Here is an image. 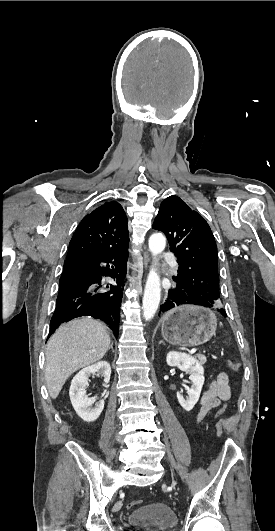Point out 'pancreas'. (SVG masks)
Here are the masks:
<instances>
[{
  "mask_svg": "<svg viewBox=\"0 0 275 531\" xmlns=\"http://www.w3.org/2000/svg\"><path fill=\"white\" fill-rule=\"evenodd\" d=\"M200 365H204V363H206L207 359L206 357H204V355H196Z\"/></svg>",
  "mask_w": 275,
  "mask_h": 531,
  "instance_id": "1",
  "label": "pancreas"
}]
</instances>
